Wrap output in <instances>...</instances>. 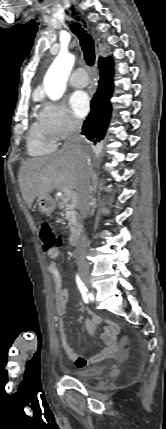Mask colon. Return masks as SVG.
Instances as JSON below:
<instances>
[{
    "label": "colon",
    "instance_id": "5ec220e1",
    "mask_svg": "<svg viewBox=\"0 0 166 429\" xmlns=\"http://www.w3.org/2000/svg\"><path fill=\"white\" fill-rule=\"evenodd\" d=\"M40 237L44 251L48 252L52 249L58 248L61 245L60 236L52 229L51 225L42 221L39 226ZM126 343V337L121 339V344Z\"/></svg>",
    "mask_w": 166,
    "mask_h": 429
}]
</instances>
